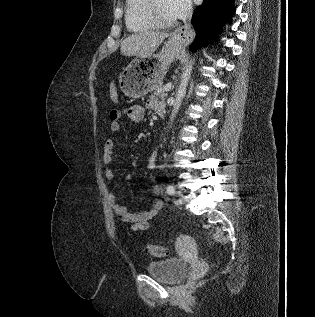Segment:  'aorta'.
I'll use <instances>...</instances> for the list:
<instances>
[{
    "label": "aorta",
    "mask_w": 315,
    "mask_h": 317,
    "mask_svg": "<svg viewBox=\"0 0 315 317\" xmlns=\"http://www.w3.org/2000/svg\"><path fill=\"white\" fill-rule=\"evenodd\" d=\"M192 65H193V61H192V63H190V65L187 66L186 70L182 74V80H181V83H180L179 88H178L177 93H176L175 103H174L172 114L170 117L171 122L176 117V114L178 113L179 108L181 106L183 97L186 94V87L188 85V81H189V78L191 75Z\"/></svg>",
    "instance_id": "1"
}]
</instances>
